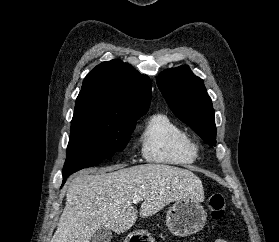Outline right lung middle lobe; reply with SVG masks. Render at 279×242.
Returning a JSON list of instances; mask_svg holds the SVG:
<instances>
[{
    "label": "right lung middle lobe",
    "mask_w": 279,
    "mask_h": 242,
    "mask_svg": "<svg viewBox=\"0 0 279 242\" xmlns=\"http://www.w3.org/2000/svg\"><path fill=\"white\" fill-rule=\"evenodd\" d=\"M135 125L136 120L73 116L63 179L78 170L99 164L102 160L112 157L115 152L122 151Z\"/></svg>",
    "instance_id": "1"
}]
</instances>
